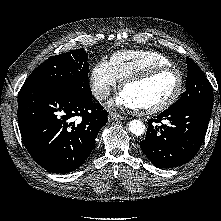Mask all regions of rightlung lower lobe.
Listing matches in <instances>:
<instances>
[{"mask_svg": "<svg viewBox=\"0 0 221 221\" xmlns=\"http://www.w3.org/2000/svg\"><path fill=\"white\" fill-rule=\"evenodd\" d=\"M81 117L75 123L74 119ZM107 122L103 107L78 93L37 86L18 94V123L25 147L42 168L68 173L79 168Z\"/></svg>", "mask_w": 221, "mask_h": 221, "instance_id": "98d812e1", "label": "right lung lower lobe"}]
</instances>
